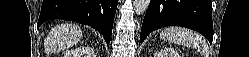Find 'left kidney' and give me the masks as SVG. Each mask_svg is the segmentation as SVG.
<instances>
[{"mask_svg": "<svg viewBox=\"0 0 249 57\" xmlns=\"http://www.w3.org/2000/svg\"><path fill=\"white\" fill-rule=\"evenodd\" d=\"M154 57H181V55H179V53L175 49L171 47H165L156 52L154 54Z\"/></svg>", "mask_w": 249, "mask_h": 57, "instance_id": "left-kidney-1", "label": "left kidney"}]
</instances>
